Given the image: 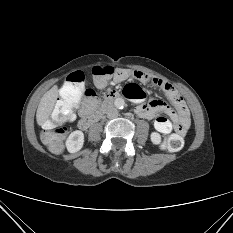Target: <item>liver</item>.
I'll return each instance as SVG.
<instances>
[{"label":"liver","instance_id":"1","mask_svg":"<svg viewBox=\"0 0 233 233\" xmlns=\"http://www.w3.org/2000/svg\"><path fill=\"white\" fill-rule=\"evenodd\" d=\"M58 95V87L57 85H54L42 96L36 113V120L38 125L42 126L48 120L55 106Z\"/></svg>","mask_w":233,"mask_h":233}]
</instances>
